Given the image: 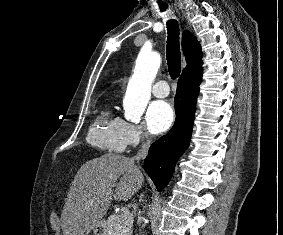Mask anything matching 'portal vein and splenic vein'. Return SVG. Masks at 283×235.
Wrapping results in <instances>:
<instances>
[{
	"mask_svg": "<svg viewBox=\"0 0 283 235\" xmlns=\"http://www.w3.org/2000/svg\"><path fill=\"white\" fill-rule=\"evenodd\" d=\"M121 213H122L123 215H127V214H129V210H128L126 207H122V208H121Z\"/></svg>",
	"mask_w": 283,
	"mask_h": 235,
	"instance_id": "portal-vein-and-splenic-vein-1",
	"label": "portal vein and splenic vein"
}]
</instances>
